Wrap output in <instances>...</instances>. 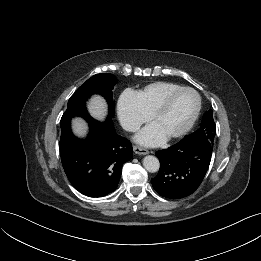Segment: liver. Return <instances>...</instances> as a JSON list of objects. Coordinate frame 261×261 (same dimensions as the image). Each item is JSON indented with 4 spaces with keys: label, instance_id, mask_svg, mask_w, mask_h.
<instances>
[{
    "label": "liver",
    "instance_id": "6515ba94",
    "mask_svg": "<svg viewBox=\"0 0 261 261\" xmlns=\"http://www.w3.org/2000/svg\"><path fill=\"white\" fill-rule=\"evenodd\" d=\"M88 109L93 117L102 120L107 113L106 101L101 96L96 95L90 99ZM72 128L74 133L79 137H84L87 133V125L80 118H75L72 121Z\"/></svg>",
    "mask_w": 261,
    "mask_h": 261
}]
</instances>
